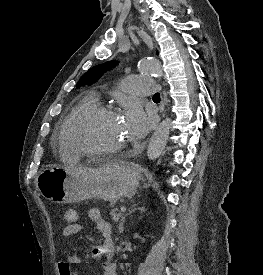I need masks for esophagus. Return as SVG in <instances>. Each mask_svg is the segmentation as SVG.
Listing matches in <instances>:
<instances>
[{
  "instance_id": "1",
  "label": "esophagus",
  "mask_w": 263,
  "mask_h": 275,
  "mask_svg": "<svg viewBox=\"0 0 263 275\" xmlns=\"http://www.w3.org/2000/svg\"><path fill=\"white\" fill-rule=\"evenodd\" d=\"M163 107H164V98L162 97V108H161V112L163 111Z\"/></svg>"
}]
</instances>
